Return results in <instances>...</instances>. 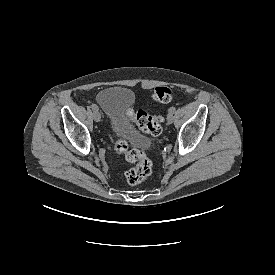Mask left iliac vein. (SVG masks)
Segmentation results:
<instances>
[{
	"label": "left iliac vein",
	"mask_w": 275,
	"mask_h": 275,
	"mask_svg": "<svg viewBox=\"0 0 275 275\" xmlns=\"http://www.w3.org/2000/svg\"><path fill=\"white\" fill-rule=\"evenodd\" d=\"M173 121H174V117H173L172 113H169L167 116V122L169 124H171V123H173Z\"/></svg>",
	"instance_id": "4c4485c4"
}]
</instances>
